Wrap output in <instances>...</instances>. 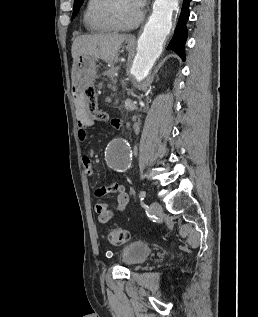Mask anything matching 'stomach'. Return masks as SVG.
<instances>
[{"instance_id":"1","label":"stomach","mask_w":258,"mask_h":317,"mask_svg":"<svg viewBox=\"0 0 258 317\" xmlns=\"http://www.w3.org/2000/svg\"><path fill=\"white\" fill-rule=\"evenodd\" d=\"M126 50H130L134 46V40L131 38H126L124 44ZM75 72H76V82L79 76L82 74H95L96 72V60L94 56H89V54H80L77 60H75Z\"/></svg>"}]
</instances>
